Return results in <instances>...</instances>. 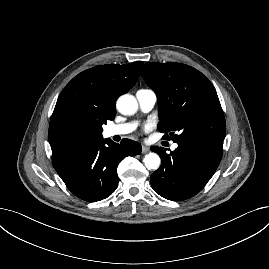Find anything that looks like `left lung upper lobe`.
<instances>
[{"mask_svg":"<svg viewBox=\"0 0 269 269\" xmlns=\"http://www.w3.org/2000/svg\"><path fill=\"white\" fill-rule=\"evenodd\" d=\"M141 76L158 98L160 132L171 139L224 141L226 125L212 83L195 68L181 63H146Z\"/></svg>","mask_w":269,"mask_h":269,"instance_id":"obj_1","label":"left lung upper lobe"}]
</instances>
